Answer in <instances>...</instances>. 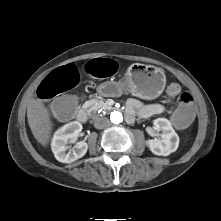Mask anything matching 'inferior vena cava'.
Returning <instances> with one entry per match:
<instances>
[{
  "label": "inferior vena cava",
  "mask_w": 221,
  "mask_h": 221,
  "mask_svg": "<svg viewBox=\"0 0 221 221\" xmlns=\"http://www.w3.org/2000/svg\"><path fill=\"white\" fill-rule=\"evenodd\" d=\"M94 126L97 129H103V128L110 126V121L106 117H100L94 121Z\"/></svg>",
  "instance_id": "602c4592"
}]
</instances>
